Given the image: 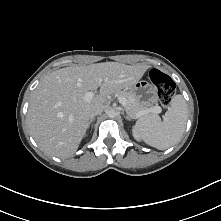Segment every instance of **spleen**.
I'll return each instance as SVG.
<instances>
[{
	"label": "spleen",
	"instance_id": "obj_1",
	"mask_svg": "<svg viewBox=\"0 0 221 221\" xmlns=\"http://www.w3.org/2000/svg\"><path fill=\"white\" fill-rule=\"evenodd\" d=\"M187 119L186 101L178 94L171 99L163 121L156 114L145 115L136 122V130L146 144L158 150H165L180 141Z\"/></svg>",
	"mask_w": 221,
	"mask_h": 221
}]
</instances>
